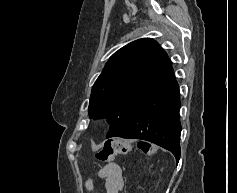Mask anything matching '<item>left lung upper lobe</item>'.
I'll return each instance as SVG.
<instances>
[{"mask_svg":"<svg viewBox=\"0 0 237 193\" xmlns=\"http://www.w3.org/2000/svg\"><path fill=\"white\" fill-rule=\"evenodd\" d=\"M171 66L167 54L150 38L133 41L115 52L93 85L90 118L107 117L106 138L127 126L148 88Z\"/></svg>","mask_w":237,"mask_h":193,"instance_id":"5c2ea615","label":"left lung upper lobe"}]
</instances>
